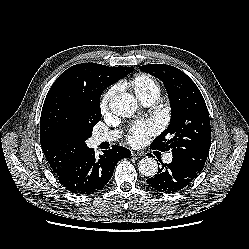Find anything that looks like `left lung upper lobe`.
<instances>
[{"instance_id": "obj_1", "label": "left lung upper lobe", "mask_w": 249, "mask_h": 249, "mask_svg": "<svg viewBox=\"0 0 249 249\" xmlns=\"http://www.w3.org/2000/svg\"><path fill=\"white\" fill-rule=\"evenodd\" d=\"M140 69L164 83L171 103L170 124L150 147L162 152L170 150L173 158L200 173L211 145L209 113L200 90L176 67L150 64Z\"/></svg>"}]
</instances>
